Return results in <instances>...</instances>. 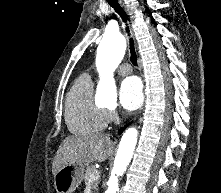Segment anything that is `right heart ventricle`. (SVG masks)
Wrapping results in <instances>:
<instances>
[{"instance_id":"1","label":"right heart ventricle","mask_w":221,"mask_h":193,"mask_svg":"<svg viewBox=\"0 0 221 193\" xmlns=\"http://www.w3.org/2000/svg\"><path fill=\"white\" fill-rule=\"evenodd\" d=\"M65 119L68 129L75 134H89L103 130L107 111L93 97V83L87 75L80 76L65 99Z\"/></svg>"}]
</instances>
